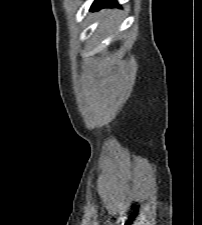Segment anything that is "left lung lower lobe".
I'll return each instance as SVG.
<instances>
[{
  "mask_svg": "<svg viewBox=\"0 0 202 225\" xmlns=\"http://www.w3.org/2000/svg\"><path fill=\"white\" fill-rule=\"evenodd\" d=\"M116 0H95L91 6V11L99 10L103 7L116 6Z\"/></svg>",
  "mask_w": 202,
  "mask_h": 225,
  "instance_id": "obj_1",
  "label": "left lung lower lobe"
}]
</instances>
